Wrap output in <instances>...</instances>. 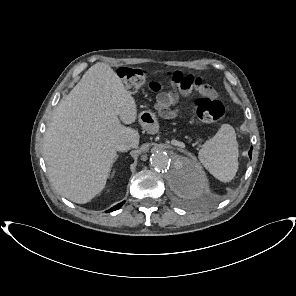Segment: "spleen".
<instances>
[{
  "label": "spleen",
  "instance_id": "3e777b00",
  "mask_svg": "<svg viewBox=\"0 0 296 296\" xmlns=\"http://www.w3.org/2000/svg\"><path fill=\"white\" fill-rule=\"evenodd\" d=\"M198 158L215 178L222 182L231 181L238 169V144L234 128L223 124L218 132L202 145Z\"/></svg>",
  "mask_w": 296,
  "mask_h": 296
}]
</instances>
